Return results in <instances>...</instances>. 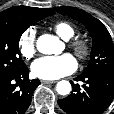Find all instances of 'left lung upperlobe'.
Returning a JSON list of instances; mask_svg holds the SVG:
<instances>
[{"label":"left lung upper lobe","instance_id":"left-lung-upper-lobe-1","mask_svg":"<svg viewBox=\"0 0 114 114\" xmlns=\"http://www.w3.org/2000/svg\"><path fill=\"white\" fill-rule=\"evenodd\" d=\"M54 9L83 23L93 38L90 61L83 74L114 72V45L106 27L98 19L78 8L62 6Z\"/></svg>","mask_w":114,"mask_h":114}]
</instances>
